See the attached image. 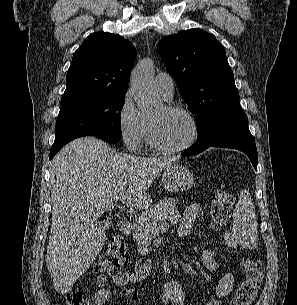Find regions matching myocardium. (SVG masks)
Segmentation results:
<instances>
[{"mask_svg":"<svg viewBox=\"0 0 297 305\" xmlns=\"http://www.w3.org/2000/svg\"><path fill=\"white\" fill-rule=\"evenodd\" d=\"M164 108L166 111H168L170 113H179V114L186 116L189 119L191 126H192V135L186 143H184L178 147H174V148L164 147L157 141L153 124L150 121L149 122V133H148L149 144L153 150H155L156 152H158L162 155H175V154L182 153V152L188 150L189 148H191L199 137L198 120H197L196 116L189 109H187L185 107H182L179 105H174V104H169V105H166Z\"/></svg>","mask_w":297,"mask_h":305,"instance_id":"myocardium-1","label":"myocardium"}]
</instances>
